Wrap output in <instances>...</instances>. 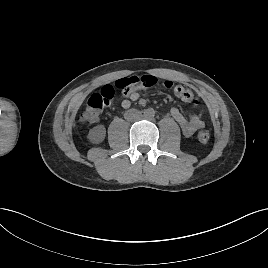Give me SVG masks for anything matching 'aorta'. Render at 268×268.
I'll list each match as a JSON object with an SVG mask.
<instances>
[{
    "mask_svg": "<svg viewBox=\"0 0 268 268\" xmlns=\"http://www.w3.org/2000/svg\"><path fill=\"white\" fill-rule=\"evenodd\" d=\"M143 114L146 119H152L155 116V111L153 108H147L144 110Z\"/></svg>",
    "mask_w": 268,
    "mask_h": 268,
    "instance_id": "1",
    "label": "aorta"
}]
</instances>
